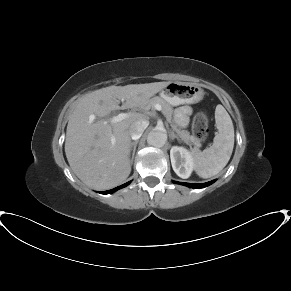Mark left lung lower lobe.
Returning <instances> with one entry per match:
<instances>
[{
  "label": "left lung lower lobe",
  "instance_id": "0a47b994",
  "mask_svg": "<svg viewBox=\"0 0 291 291\" xmlns=\"http://www.w3.org/2000/svg\"><path fill=\"white\" fill-rule=\"evenodd\" d=\"M214 181H215V180L210 181V182H206V183H202V184L184 183V182H174V183H179V184H182V185H185V186L191 187V188H203V187H206V186L212 184Z\"/></svg>",
  "mask_w": 291,
  "mask_h": 291
}]
</instances>
